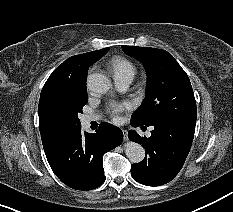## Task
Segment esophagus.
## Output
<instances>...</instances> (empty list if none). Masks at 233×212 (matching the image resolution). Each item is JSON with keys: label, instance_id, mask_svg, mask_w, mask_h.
I'll list each match as a JSON object with an SVG mask.
<instances>
[{"label": "esophagus", "instance_id": "esophagus-1", "mask_svg": "<svg viewBox=\"0 0 233 212\" xmlns=\"http://www.w3.org/2000/svg\"><path fill=\"white\" fill-rule=\"evenodd\" d=\"M122 132H123L124 140H128V133H127V131L123 129Z\"/></svg>", "mask_w": 233, "mask_h": 212}]
</instances>
